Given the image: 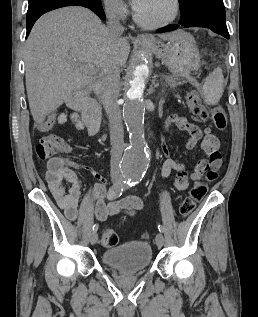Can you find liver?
Masks as SVG:
<instances>
[{"label": "liver", "mask_w": 258, "mask_h": 317, "mask_svg": "<svg viewBox=\"0 0 258 317\" xmlns=\"http://www.w3.org/2000/svg\"><path fill=\"white\" fill-rule=\"evenodd\" d=\"M122 34V32H121ZM110 34L108 26L84 6H65L46 12L35 22L24 46L26 88L31 114L38 124L75 90L93 82L90 66L113 60L124 66L130 46L128 36ZM177 40L178 32L158 34Z\"/></svg>", "instance_id": "6515ba94"}]
</instances>
